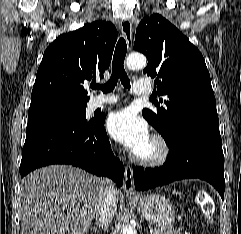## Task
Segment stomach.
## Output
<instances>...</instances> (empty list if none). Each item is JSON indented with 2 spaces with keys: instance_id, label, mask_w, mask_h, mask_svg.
I'll return each mask as SVG.
<instances>
[{
  "instance_id": "obj_1",
  "label": "stomach",
  "mask_w": 241,
  "mask_h": 234,
  "mask_svg": "<svg viewBox=\"0 0 241 234\" xmlns=\"http://www.w3.org/2000/svg\"><path fill=\"white\" fill-rule=\"evenodd\" d=\"M147 221L168 229L175 219V209L168 199L159 195L151 194L139 198H130Z\"/></svg>"
}]
</instances>
